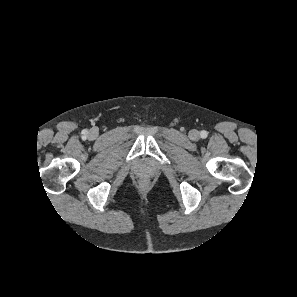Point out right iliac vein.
<instances>
[{
  "instance_id": "63e3f726",
  "label": "right iliac vein",
  "mask_w": 297,
  "mask_h": 297,
  "mask_svg": "<svg viewBox=\"0 0 297 297\" xmlns=\"http://www.w3.org/2000/svg\"><path fill=\"white\" fill-rule=\"evenodd\" d=\"M89 137L94 139L95 137H97V132L95 130L90 131Z\"/></svg>"
}]
</instances>
